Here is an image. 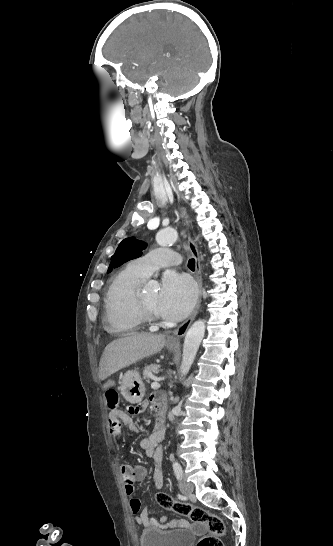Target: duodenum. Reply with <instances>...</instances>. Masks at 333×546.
<instances>
[{"instance_id":"1","label":"duodenum","mask_w":333,"mask_h":546,"mask_svg":"<svg viewBox=\"0 0 333 546\" xmlns=\"http://www.w3.org/2000/svg\"><path fill=\"white\" fill-rule=\"evenodd\" d=\"M164 419L162 417H157V422L155 426V433L161 435L164 431Z\"/></svg>"}]
</instances>
